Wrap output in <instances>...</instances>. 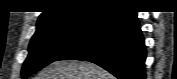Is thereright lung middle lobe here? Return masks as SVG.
<instances>
[{"label":"right lung middle lobe","instance_id":"1","mask_svg":"<svg viewBox=\"0 0 177 79\" xmlns=\"http://www.w3.org/2000/svg\"><path fill=\"white\" fill-rule=\"evenodd\" d=\"M102 15L56 21L37 28L29 45V55L22 68L23 79L58 60L79 44L98 24Z\"/></svg>","mask_w":177,"mask_h":79}]
</instances>
